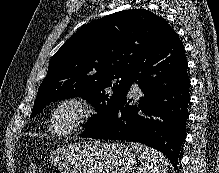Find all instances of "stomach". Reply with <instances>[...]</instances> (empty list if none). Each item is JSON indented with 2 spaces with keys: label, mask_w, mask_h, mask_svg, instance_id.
I'll list each match as a JSON object with an SVG mask.
<instances>
[{
  "label": "stomach",
  "mask_w": 219,
  "mask_h": 173,
  "mask_svg": "<svg viewBox=\"0 0 219 173\" xmlns=\"http://www.w3.org/2000/svg\"><path fill=\"white\" fill-rule=\"evenodd\" d=\"M50 161L70 173H132L136 164L125 144L99 141L62 145L50 152Z\"/></svg>",
  "instance_id": "1"
}]
</instances>
